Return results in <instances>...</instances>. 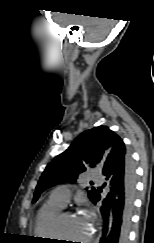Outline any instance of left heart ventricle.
I'll return each instance as SVG.
<instances>
[{"label":"left heart ventricle","mask_w":154,"mask_h":243,"mask_svg":"<svg viewBox=\"0 0 154 243\" xmlns=\"http://www.w3.org/2000/svg\"><path fill=\"white\" fill-rule=\"evenodd\" d=\"M60 232L63 238L73 240L66 243H73L74 240H85L91 233V227L81 217L65 215L60 220Z\"/></svg>","instance_id":"left-heart-ventricle-1"}]
</instances>
